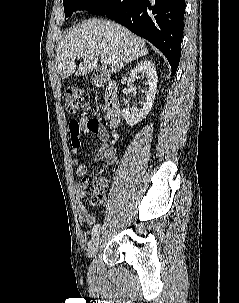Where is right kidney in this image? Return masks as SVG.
I'll return each mask as SVG.
<instances>
[{
	"instance_id": "right-kidney-1",
	"label": "right kidney",
	"mask_w": 239,
	"mask_h": 303,
	"mask_svg": "<svg viewBox=\"0 0 239 303\" xmlns=\"http://www.w3.org/2000/svg\"><path fill=\"white\" fill-rule=\"evenodd\" d=\"M145 74L148 78L149 89L146 93V99L143 103V108L139 112L131 113L128 109L123 110V117L126 123L130 126H134L140 121H142L147 114L150 112L152 105L154 103L156 89H157V73L155 67L150 61L144 60L140 62L133 70L130 72V77L132 79H137L138 75Z\"/></svg>"
}]
</instances>
